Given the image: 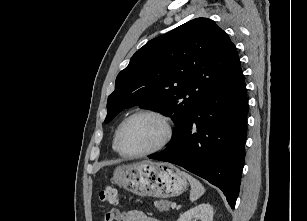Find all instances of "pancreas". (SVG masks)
Returning <instances> with one entry per match:
<instances>
[{"instance_id": "pancreas-1", "label": "pancreas", "mask_w": 307, "mask_h": 221, "mask_svg": "<svg viewBox=\"0 0 307 221\" xmlns=\"http://www.w3.org/2000/svg\"><path fill=\"white\" fill-rule=\"evenodd\" d=\"M154 205L159 211L167 212L170 210V202L168 201L160 200V201L155 202Z\"/></svg>"}]
</instances>
